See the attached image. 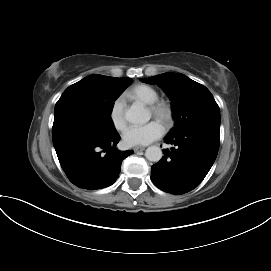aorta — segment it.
<instances>
[{
  "label": "aorta",
  "instance_id": "aorta-1",
  "mask_svg": "<svg viewBox=\"0 0 271 271\" xmlns=\"http://www.w3.org/2000/svg\"><path fill=\"white\" fill-rule=\"evenodd\" d=\"M150 112L139 103L133 104L125 112V119L133 124H145L150 120ZM145 156L149 161L158 162L163 154L158 146H150L145 151Z\"/></svg>",
  "mask_w": 271,
  "mask_h": 271
}]
</instances>
